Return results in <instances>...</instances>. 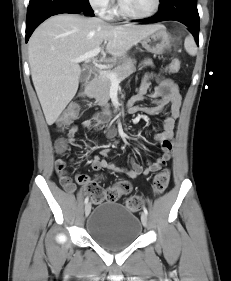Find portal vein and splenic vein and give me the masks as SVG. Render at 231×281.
I'll use <instances>...</instances> for the list:
<instances>
[{"instance_id":"18ae733b","label":"portal vein and splenic vein","mask_w":231,"mask_h":281,"mask_svg":"<svg viewBox=\"0 0 231 281\" xmlns=\"http://www.w3.org/2000/svg\"><path fill=\"white\" fill-rule=\"evenodd\" d=\"M100 52H101V47H97L94 50H92L90 52H87L84 55H82V56H80V57H78L74 60H71V62L80 63V62H83V61H87V60L97 56ZM100 74L106 75L111 81H115V82L119 81L117 79V75L114 74V73H108L106 71H101Z\"/></svg>"}]
</instances>
